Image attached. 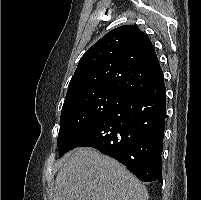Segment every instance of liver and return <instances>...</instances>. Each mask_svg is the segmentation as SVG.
<instances>
[{
    "label": "liver",
    "mask_w": 201,
    "mask_h": 200,
    "mask_svg": "<svg viewBox=\"0 0 201 200\" xmlns=\"http://www.w3.org/2000/svg\"><path fill=\"white\" fill-rule=\"evenodd\" d=\"M53 200H148L146 187L115 159L79 147L63 160Z\"/></svg>",
    "instance_id": "obj_1"
}]
</instances>
